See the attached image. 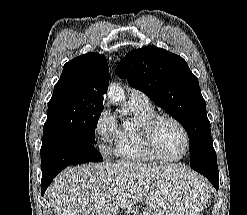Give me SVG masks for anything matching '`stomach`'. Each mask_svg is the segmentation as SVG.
I'll list each match as a JSON object with an SVG mask.
<instances>
[{
  "label": "stomach",
  "mask_w": 247,
  "mask_h": 215,
  "mask_svg": "<svg viewBox=\"0 0 247 215\" xmlns=\"http://www.w3.org/2000/svg\"><path fill=\"white\" fill-rule=\"evenodd\" d=\"M205 181L196 173L184 170L166 180L146 202L144 215H199L208 202Z\"/></svg>",
  "instance_id": "stomach-1"
}]
</instances>
